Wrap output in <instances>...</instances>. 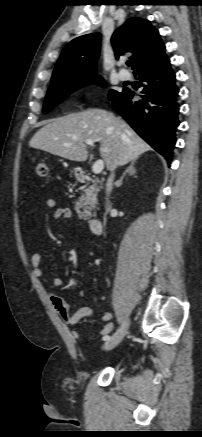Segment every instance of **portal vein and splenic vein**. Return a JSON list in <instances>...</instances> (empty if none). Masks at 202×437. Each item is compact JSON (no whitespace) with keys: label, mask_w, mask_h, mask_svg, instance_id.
Segmentation results:
<instances>
[{"label":"portal vein and splenic vein","mask_w":202,"mask_h":437,"mask_svg":"<svg viewBox=\"0 0 202 437\" xmlns=\"http://www.w3.org/2000/svg\"><path fill=\"white\" fill-rule=\"evenodd\" d=\"M84 142L89 146H94V142L91 139H86ZM103 169L104 162L102 160H97L92 166V171L94 174L101 173Z\"/></svg>","instance_id":"1"}]
</instances>
